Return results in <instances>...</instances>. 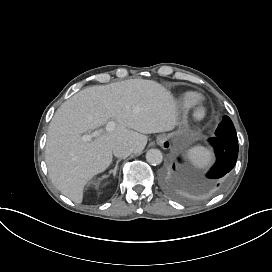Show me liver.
Instances as JSON below:
<instances>
[{"mask_svg":"<svg viewBox=\"0 0 272 272\" xmlns=\"http://www.w3.org/2000/svg\"><path fill=\"white\" fill-rule=\"evenodd\" d=\"M177 117L171 92L152 80L129 79L79 91L57 109L48 128L45 161L52 183L81 203L85 184L108 168L116 145L127 143L139 153L147 144L145 134L173 130ZM110 119L116 123L113 132L82 139Z\"/></svg>","mask_w":272,"mask_h":272,"instance_id":"obj_1","label":"liver"}]
</instances>
